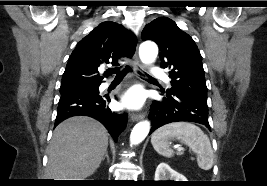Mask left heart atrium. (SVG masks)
<instances>
[{
    "label": "left heart atrium",
    "mask_w": 267,
    "mask_h": 186,
    "mask_svg": "<svg viewBox=\"0 0 267 186\" xmlns=\"http://www.w3.org/2000/svg\"><path fill=\"white\" fill-rule=\"evenodd\" d=\"M145 100L142 90L139 88H131L122 96L121 104L128 109H139Z\"/></svg>",
    "instance_id": "left-heart-atrium-1"
}]
</instances>
